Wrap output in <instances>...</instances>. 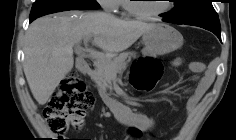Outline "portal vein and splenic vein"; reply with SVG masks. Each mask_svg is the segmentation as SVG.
I'll list each match as a JSON object with an SVG mask.
<instances>
[{
    "instance_id": "1",
    "label": "portal vein and splenic vein",
    "mask_w": 236,
    "mask_h": 140,
    "mask_svg": "<svg viewBox=\"0 0 236 140\" xmlns=\"http://www.w3.org/2000/svg\"><path fill=\"white\" fill-rule=\"evenodd\" d=\"M89 40H90V37H86L84 39L85 43H87ZM88 52H89V56L92 59H95L96 61L105 62L107 60V58L103 56L101 53H98L96 51H88Z\"/></svg>"
}]
</instances>
